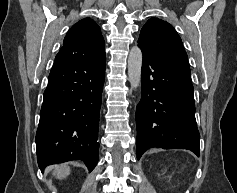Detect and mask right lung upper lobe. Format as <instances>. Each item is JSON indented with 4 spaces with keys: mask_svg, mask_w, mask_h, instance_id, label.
Here are the masks:
<instances>
[{
    "mask_svg": "<svg viewBox=\"0 0 237 193\" xmlns=\"http://www.w3.org/2000/svg\"><path fill=\"white\" fill-rule=\"evenodd\" d=\"M59 53L78 59H96L105 56L100 27L90 18L80 20L66 34Z\"/></svg>",
    "mask_w": 237,
    "mask_h": 193,
    "instance_id": "obj_1",
    "label": "right lung upper lobe"
}]
</instances>
